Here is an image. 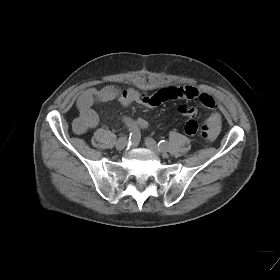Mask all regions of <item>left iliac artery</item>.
<instances>
[{
  "mask_svg": "<svg viewBox=\"0 0 280 280\" xmlns=\"http://www.w3.org/2000/svg\"><path fill=\"white\" fill-rule=\"evenodd\" d=\"M158 144L161 148H167L169 145L168 142L165 140H161Z\"/></svg>",
  "mask_w": 280,
  "mask_h": 280,
  "instance_id": "left-iliac-artery-1",
  "label": "left iliac artery"
}]
</instances>
